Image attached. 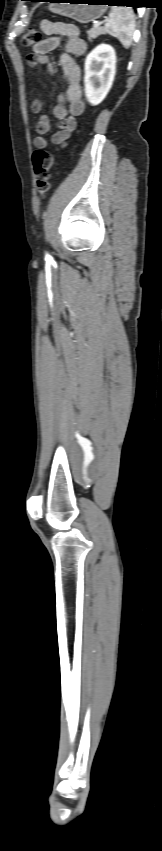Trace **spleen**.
Masks as SVG:
<instances>
[{
    "instance_id": "1",
    "label": "spleen",
    "mask_w": 162,
    "mask_h": 851,
    "mask_svg": "<svg viewBox=\"0 0 162 851\" xmlns=\"http://www.w3.org/2000/svg\"><path fill=\"white\" fill-rule=\"evenodd\" d=\"M134 29L135 19L131 8L116 6L111 8L109 20L105 24V32L116 37L127 49L132 43Z\"/></svg>"
}]
</instances>
